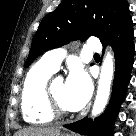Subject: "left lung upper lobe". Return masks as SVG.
Returning a JSON list of instances; mask_svg holds the SVG:
<instances>
[{"instance_id":"obj_1","label":"left lung upper lobe","mask_w":136,"mask_h":136,"mask_svg":"<svg viewBox=\"0 0 136 136\" xmlns=\"http://www.w3.org/2000/svg\"><path fill=\"white\" fill-rule=\"evenodd\" d=\"M130 14L126 0H63L46 15L36 31L25 63L28 67L40 54L68 44L97 36L101 42L110 37ZM95 15V24L88 22Z\"/></svg>"}]
</instances>
